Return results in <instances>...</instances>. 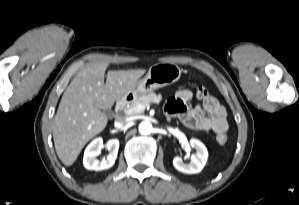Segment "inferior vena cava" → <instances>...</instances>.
<instances>
[{"mask_svg": "<svg viewBox=\"0 0 299 205\" xmlns=\"http://www.w3.org/2000/svg\"><path fill=\"white\" fill-rule=\"evenodd\" d=\"M128 123V120L124 117H119L115 121V127L122 128L124 125Z\"/></svg>", "mask_w": 299, "mask_h": 205, "instance_id": "1", "label": "inferior vena cava"}]
</instances>
